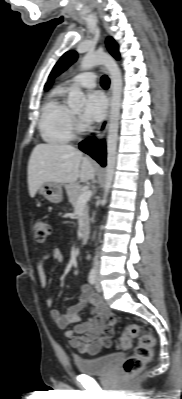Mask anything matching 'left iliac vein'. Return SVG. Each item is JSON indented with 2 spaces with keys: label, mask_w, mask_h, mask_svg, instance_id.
Returning a JSON list of instances; mask_svg holds the SVG:
<instances>
[{
  "label": "left iliac vein",
  "mask_w": 182,
  "mask_h": 399,
  "mask_svg": "<svg viewBox=\"0 0 182 399\" xmlns=\"http://www.w3.org/2000/svg\"><path fill=\"white\" fill-rule=\"evenodd\" d=\"M96 291L101 292L102 291V286L100 284V276L97 274V280H96V285H95Z\"/></svg>",
  "instance_id": "1"
}]
</instances>
